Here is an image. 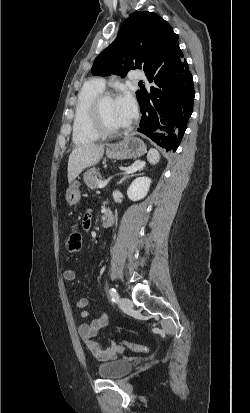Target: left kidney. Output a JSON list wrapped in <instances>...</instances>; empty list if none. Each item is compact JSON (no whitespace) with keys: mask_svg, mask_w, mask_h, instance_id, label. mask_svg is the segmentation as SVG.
Segmentation results:
<instances>
[{"mask_svg":"<svg viewBox=\"0 0 250 413\" xmlns=\"http://www.w3.org/2000/svg\"><path fill=\"white\" fill-rule=\"evenodd\" d=\"M151 179L148 177H138L136 178L127 190V196L132 201H138L143 199L150 188Z\"/></svg>","mask_w":250,"mask_h":413,"instance_id":"left-kidney-1","label":"left kidney"}]
</instances>
